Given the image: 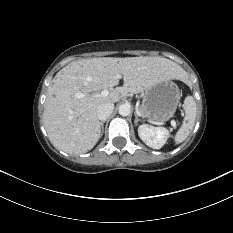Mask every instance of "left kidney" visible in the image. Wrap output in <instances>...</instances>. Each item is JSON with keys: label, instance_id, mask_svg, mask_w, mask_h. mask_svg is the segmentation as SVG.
I'll use <instances>...</instances> for the list:
<instances>
[{"label": "left kidney", "instance_id": "5707ae66", "mask_svg": "<svg viewBox=\"0 0 233 233\" xmlns=\"http://www.w3.org/2000/svg\"><path fill=\"white\" fill-rule=\"evenodd\" d=\"M138 135L147 146L160 149L169 138V131L164 127L143 124L138 128Z\"/></svg>", "mask_w": 233, "mask_h": 233}]
</instances>
